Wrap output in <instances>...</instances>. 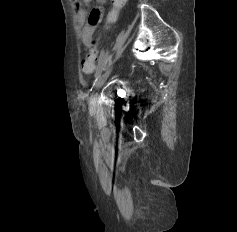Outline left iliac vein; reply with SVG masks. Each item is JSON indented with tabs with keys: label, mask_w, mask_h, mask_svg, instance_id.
I'll return each mask as SVG.
<instances>
[{
	"label": "left iliac vein",
	"mask_w": 237,
	"mask_h": 232,
	"mask_svg": "<svg viewBox=\"0 0 237 232\" xmlns=\"http://www.w3.org/2000/svg\"><path fill=\"white\" fill-rule=\"evenodd\" d=\"M113 67L107 69L105 72H103L102 75L99 76V78L95 81L94 86L95 89L98 90L100 89L104 83L106 82L107 78L109 77L110 73L112 72ZM96 101H97V94L93 93L92 96L90 97L89 105L90 109L94 110L96 107Z\"/></svg>",
	"instance_id": "1"
}]
</instances>
